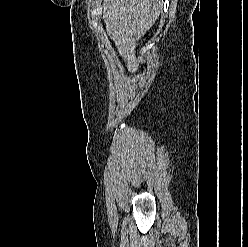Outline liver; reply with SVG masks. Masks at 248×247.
I'll return each mask as SVG.
<instances>
[{
	"mask_svg": "<svg viewBox=\"0 0 248 247\" xmlns=\"http://www.w3.org/2000/svg\"><path fill=\"white\" fill-rule=\"evenodd\" d=\"M162 5V0H104L103 20L107 34L131 73L139 68L135 57L137 42L158 19Z\"/></svg>",
	"mask_w": 248,
	"mask_h": 247,
	"instance_id": "obj_1",
	"label": "liver"
}]
</instances>
